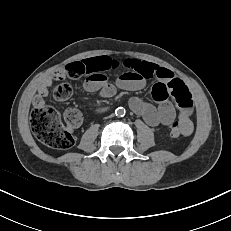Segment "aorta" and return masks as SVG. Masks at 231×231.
<instances>
[{
	"label": "aorta",
	"instance_id": "762f6f07",
	"mask_svg": "<svg viewBox=\"0 0 231 231\" xmlns=\"http://www.w3.org/2000/svg\"><path fill=\"white\" fill-rule=\"evenodd\" d=\"M116 115L122 116L125 113V110L122 107H118L115 111Z\"/></svg>",
	"mask_w": 231,
	"mask_h": 231
}]
</instances>
